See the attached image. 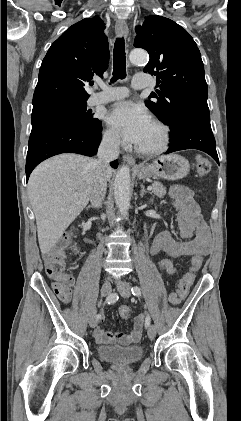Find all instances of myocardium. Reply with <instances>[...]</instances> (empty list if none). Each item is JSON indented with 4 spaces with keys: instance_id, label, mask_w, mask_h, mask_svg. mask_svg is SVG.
Listing matches in <instances>:
<instances>
[{
    "instance_id": "obj_1",
    "label": "myocardium",
    "mask_w": 241,
    "mask_h": 421,
    "mask_svg": "<svg viewBox=\"0 0 241 421\" xmlns=\"http://www.w3.org/2000/svg\"><path fill=\"white\" fill-rule=\"evenodd\" d=\"M152 124L160 132V142L158 145L152 148H142L137 145L135 147L136 152L144 156H155L165 152L168 149L171 141L170 128L165 123L159 120H154Z\"/></svg>"
}]
</instances>
